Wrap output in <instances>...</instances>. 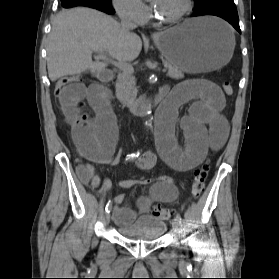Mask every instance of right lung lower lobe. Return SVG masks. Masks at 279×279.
Masks as SVG:
<instances>
[{"instance_id":"obj_1","label":"right lung lower lobe","mask_w":279,"mask_h":279,"mask_svg":"<svg viewBox=\"0 0 279 279\" xmlns=\"http://www.w3.org/2000/svg\"><path fill=\"white\" fill-rule=\"evenodd\" d=\"M64 8H70L75 6H86L101 10L107 14H113L115 11L112 5H105L100 0H61Z\"/></svg>"}]
</instances>
